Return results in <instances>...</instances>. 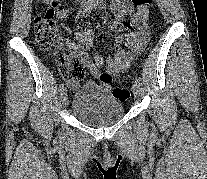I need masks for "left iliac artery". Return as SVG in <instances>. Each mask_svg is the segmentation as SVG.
<instances>
[{"instance_id": "44dca946", "label": "left iliac artery", "mask_w": 207, "mask_h": 179, "mask_svg": "<svg viewBox=\"0 0 207 179\" xmlns=\"http://www.w3.org/2000/svg\"><path fill=\"white\" fill-rule=\"evenodd\" d=\"M141 81H142L141 77L140 76H137L135 82H138L139 84H141Z\"/></svg>"}]
</instances>
